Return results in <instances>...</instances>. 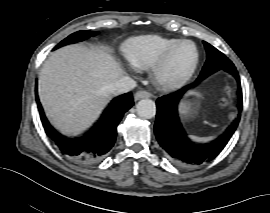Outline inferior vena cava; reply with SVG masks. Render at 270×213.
<instances>
[{"label": "inferior vena cava", "mask_w": 270, "mask_h": 213, "mask_svg": "<svg viewBox=\"0 0 270 213\" xmlns=\"http://www.w3.org/2000/svg\"><path fill=\"white\" fill-rule=\"evenodd\" d=\"M137 86L136 82L130 77H122L113 83L111 92L113 94H123L134 89Z\"/></svg>", "instance_id": "obj_1"}]
</instances>
